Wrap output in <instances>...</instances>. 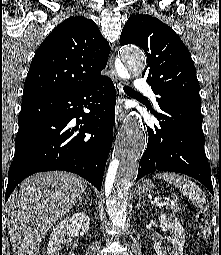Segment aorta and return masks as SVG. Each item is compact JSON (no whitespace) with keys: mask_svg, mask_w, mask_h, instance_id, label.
I'll use <instances>...</instances> for the list:
<instances>
[{"mask_svg":"<svg viewBox=\"0 0 221 255\" xmlns=\"http://www.w3.org/2000/svg\"><path fill=\"white\" fill-rule=\"evenodd\" d=\"M120 54L125 65L120 71L122 75L127 71L134 75L143 72L146 58L140 49L126 46ZM128 119L126 130L105 179L108 216L112 224L122 230L126 227L128 196L138 173V160L146 148V134L140 117L134 113Z\"/></svg>","mask_w":221,"mask_h":255,"instance_id":"762f6f07","label":"aorta"}]
</instances>
